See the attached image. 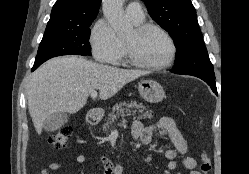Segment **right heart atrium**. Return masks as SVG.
Wrapping results in <instances>:
<instances>
[{
  "mask_svg": "<svg viewBox=\"0 0 249 174\" xmlns=\"http://www.w3.org/2000/svg\"><path fill=\"white\" fill-rule=\"evenodd\" d=\"M90 45L93 56L99 62L113 64L124 54L123 43L106 18L98 19L93 25Z\"/></svg>",
  "mask_w": 249,
  "mask_h": 174,
  "instance_id": "obj_1",
  "label": "right heart atrium"
}]
</instances>
